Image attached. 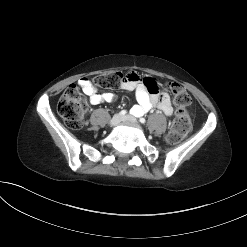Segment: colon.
I'll return each mask as SVG.
<instances>
[{
  "instance_id": "colon-1",
  "label": "colon",
  "mask_w": 247,
  "mask_h": 247,
  "mask_svg": "<svg viewBox=\"0 0 247 247\" xmlns=\"http://www.w3.org/2000/svg\"><path fill=\"white\" fill-rule=\"evenodd\" d=\"M126 77V73L113 72L99 75L94 78L93 82L100 88L116 89ZM167 87L172 92L174 102L178 108L167 134V140L171 144H176L190 131L191 120L187 107L191 104V97L189 93L177 83H168ZM57 111L69 128L79 129L82 127L86 103L79 92L78 86L73 84L65 90L59 99Z\"/></svg>"
}]
</instances>
